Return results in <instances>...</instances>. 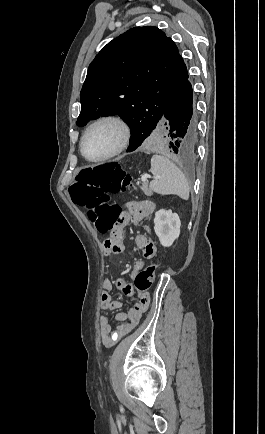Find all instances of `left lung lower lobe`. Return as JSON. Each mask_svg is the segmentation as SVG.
<instances>
[{
  "instance_id": "left-lung-lower-lobe-1",
  "label": "left lung lower lobe",
  "mask_w": 265,
  "mask_h": 434,
  "mask_svg": "<svg viewBox=\"0 0 265 434\" xmlns=\"http://www.w3.org/2000/svg\"><path fill=\"white\" fill-rule=\"evenodd\" d=\"M188 78L189 76L172 97L160 118L167 130L168 148L183 155L193 154L198 141L197 118L193 111V90ZM153 129L155 128H137L132 132L126 152L134 151L141 146Z\"/></svg>"
}]
</instances>
